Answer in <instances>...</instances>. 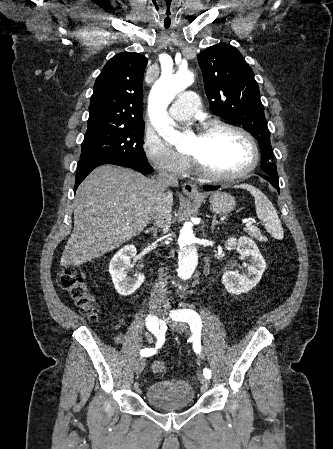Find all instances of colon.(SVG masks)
<instances>
[{
  "instance_id": "obj_1",
  "label": "colon",
  "mask_w": 333,
  "mask_h": 449,
  "mask_svg": "<svg viewBox=\"0 0 333 449\" xmlns=\"http://www.w3.org/2000/svg\"><path fill=\"white\" fill-rule=\"evenodd\" d=\"M58 285L67 291L80 310L89 318L96 317L97 308L94 298L86 286L85 274L73 268H62L57 275ZM154 373L165 372L166 366L163 362L156 361L152 364Z\"/></svg>"
}]
</instances>
